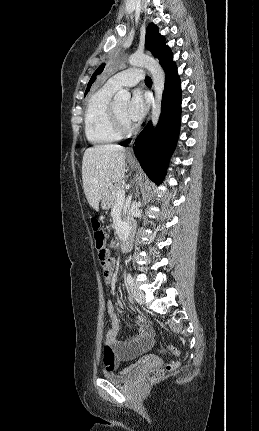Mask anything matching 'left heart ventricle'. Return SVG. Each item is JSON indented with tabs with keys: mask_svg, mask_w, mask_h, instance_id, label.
I'll list each match as a JSON object with an SVG mask.
<instances>
[{
	"mask_svg": "<svg viewBox=\"0 0 259 431\" xmlns=\"http://www.w3.org/2000/svg\"><path fill=\"white\" fill-rule=\"evenodd\" d=\"M126 106H127L126 102H120V103L114 104V108L117 114L119 115L120 119L122 120V122L126 125H131V123L125 117Z\"/></svg>",
	"mask_w": 259,
	"mask_h": 431,
	"instance_id": "left-heart-ventricle-1",
	"label": "left heart ventricle"
}]
</instances>
